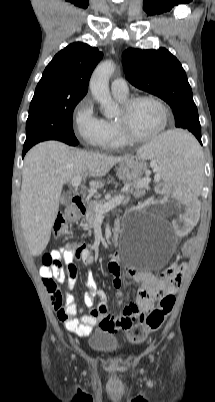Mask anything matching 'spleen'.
<instances>
[{"label":"spleen","instance_id":"3e777b00","mask_svg":"<svg viewBox=\"0 0 215 402\" xmlns=\"http://www.w3.org/2000/svg\"><path fill=\"white\" fill-rule=\"evenodd\" d=\"M137 154L142 159H152L154 170L166 181L185 186L186 193L200 187L204 166L197 133H187V128H168V132L141 147Z\"/></svg>","mask_w":215,"mask_h":402}]
</instances>
